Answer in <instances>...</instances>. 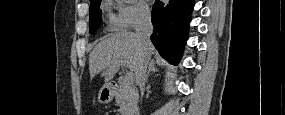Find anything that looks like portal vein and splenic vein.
Instances as JSON below:
<instances>
[{
	"label": "portal vein and splenic vein",
	"mask_w": 285,
	"mask_h": 115,
	"mask_svg": "<svg viewBox=\"0 0 285 115\" xmlns=\"http://www.w3.org/2000/svg\"><path fill=\"white\" fill-rule=\"evenodd\" d=\"M121 66L122 67H126V64L125 63H121ZM133 79H134L133 74L131 72H127L125 77H124L123 82H124V84L129 85L133 81Z\"/></svg>",
	"instance_id": "18ae733b"
}]
</instances>
